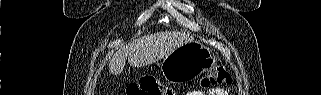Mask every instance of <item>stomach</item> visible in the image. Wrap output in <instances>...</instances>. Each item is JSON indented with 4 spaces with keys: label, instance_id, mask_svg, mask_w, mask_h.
<instances>
[{
    "label": "stomach",
    "instance_id": "obj_1",
    "mask_svg": "<svg viewBox=\"0 0 321 95\" xmlns=\"http://www.w3.org/2000/svg\"><path fill=\"white\" fill-rule=\"evenodd\" d=\"M217 64L212 50L201 42L192 41L165 56L161 73L169 83H182L197 78Z\"/></svg>",
    "mask_w": 321,
    "mask_h": 95
}]
</instances>
